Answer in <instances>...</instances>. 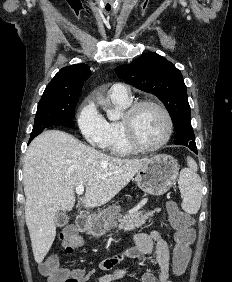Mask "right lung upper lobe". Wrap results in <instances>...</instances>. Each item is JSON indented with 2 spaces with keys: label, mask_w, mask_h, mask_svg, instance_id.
Segmentation results:
<instances>
[{
  "label": "right lung upper lobe",
  "mask_w": 232,
  "mask_h": 282,
  "mask_svg": "<svg viewBox=\"0 0 232 282\" xmlns=\"http://www.w3.org/2000/svg\"><path fill=\"white\" fill-rule=\"evenodd\" d=\"M90 75L91 71L85 64L64 67L50 81L42 96L61 97L80 94L83 81Z\"/></svg>",
  "instance_id": "1"
}]
</instances>
